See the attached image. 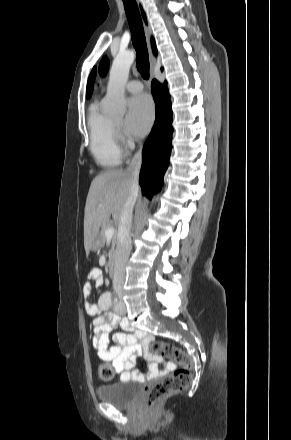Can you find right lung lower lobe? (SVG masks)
<instances>
[{
  "mask_svg": "<svg viewBox=\"0 0 291 440\" xmlns=\"http://www.w3.org/2000/svg\"><path fill=\"white\" fill-rule=\"evenodd\" d=\"M156 104V119L142 151L140 186L148 197L158 192L163 185V175L168 167L172 145V110L166 83L157 80L151 84Z\"/></svg>",
  "mask_w": 291,
  "mask_h": 440,
  "instance_id": "98d812e1",
  "label": "right lung lower lobe"
}]
</instances>
